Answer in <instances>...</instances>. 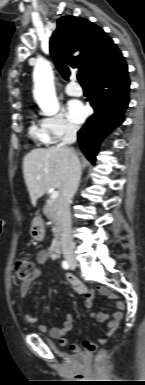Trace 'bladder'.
<instances>
[{
  "mask_svg": "<svg viewBox=\"0 0 145 385\" xmlns=\"http://www.w3.org/2000/svg\"><path fill=\"white\" fill-rule=\"evenodd\" d=\"M51 345H54V343H51ZM81 359L84 360L85 359V356L84 355H80Z\"/></svg>",
  "mask_w": 145,
  "mask_h": 385,
  "instance_id": "31cf9c89",
  "label": "bladder"
}]
</instances>
